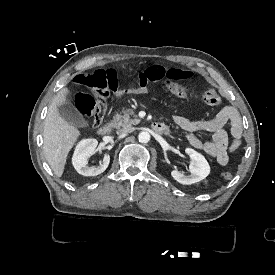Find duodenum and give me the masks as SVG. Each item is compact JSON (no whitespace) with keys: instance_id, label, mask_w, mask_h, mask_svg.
<instances>
[{"instance_id":"410a0bca","label":"duodenum","mask_w":275,"mask_h":275,"mask_svg":"<svg viewBox=\"0 0 275 275\" xmlns=\"http://www.w3.org/2000/svg\"><path fill=\"white\" fill-rule=\"evenodd\" d=\"M113 129V125L110 122L104 123L97 129V133L100 136L108 135ZM151 129L153 132L157 134H164L169 131L168 127L161 122H154L151 125Z\"/></svg>"}]
</instances>
